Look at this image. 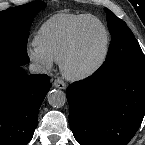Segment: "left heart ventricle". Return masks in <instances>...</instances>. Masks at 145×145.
Listing matches in <instances>:
<instances>
[{
    "label": "left heart ventricle",
    "mask_w": 145,
    "mask_h": 145,
    "mask_svg": "<svg viewBox=\"0 0 145 145\" xmlns=\"http://www.w3.org/2000/svg\"><path fill=\"white\" fill-rule=\"evenodd\" d=\"M82 47L75 61L77 67H83L93 62L101 53L104 41L102 28L90 21L82 32Z\"/></svg>",
    "instance_id": "1"
}]
</instances>
